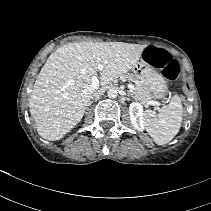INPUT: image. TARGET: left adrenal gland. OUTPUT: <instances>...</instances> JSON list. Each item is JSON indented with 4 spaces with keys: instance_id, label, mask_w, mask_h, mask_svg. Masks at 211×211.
<instances>
[{
    "instance_id": "left-adrenal-gland-1",
    "label": "left adrenal gland",
    "mask_w": 211,
    "mask_h": 211,
    "mask_svg": "<svg viewBox=\"0 0 211 211\" xmlns=\"http://www.w3.org/2000/svg\"><path fill=\"white\" fill-rule=\"evenodd\" d=\"M129 98H132V99H135L136 100V98L130 92H128L126 99L129 100Z\"/></svg>"
}]
</instances>
